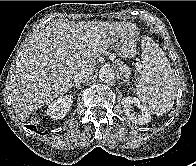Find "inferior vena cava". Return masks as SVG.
I'll return each instance as SVG.
<instances>
[{
  "label": "inferior vena cava",
  "mask_w": 196,
  "mask_h": 166,
  "mask_svg": "<svg viewBox=\"0 0 196 166\" xmlns=\"http://www.w3.org/2000/svg\"><path fill=\"white\" fill-rule=\"evenodd\" d=\"M92 74L90 70H81L76 72L73 76V80L76 84L84 83Z\"/></svg>",
  "instance_id": "602c4592"
}]
</instances>
